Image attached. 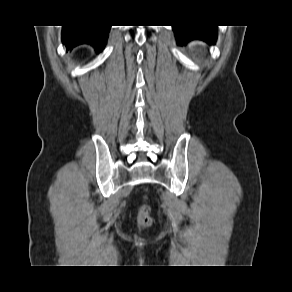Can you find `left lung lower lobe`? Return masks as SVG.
Wrapping results in <instances>:
<instances>
[{"mask_svg": "<svg viewBox=\"0 0 292 292\" xmlns=\"http://www.w3.org/2000/svg\"><path fill=\"white\" fill-rule=\"evenodd\" d=\"M179 44H185L187 41L199 38L213 44L216 39V27L207 25H177L173 26Z\"/></svg>", "mask_w": 292, "mask_h": 292, "instance_id": "1", "label": "left lung lower lobe"}]
</instances>
